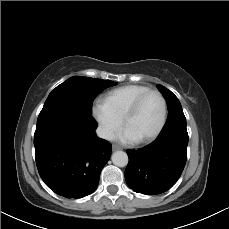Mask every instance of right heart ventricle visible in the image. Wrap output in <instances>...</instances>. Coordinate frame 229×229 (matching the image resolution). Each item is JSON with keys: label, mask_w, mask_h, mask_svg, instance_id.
I'll return each mask as SVG.
<instances>
[{"label": "right heart ventricle", "mask_w": 229, "mask_h": 229, "mask_svg": "<svg viewBox=\"0 0 229 229\" xmlns=\"http://www.w3.org/2000/svg\"><path fill=\"white\" fill-rule=\"evenodd\" d=\"M151 90L148 86L131 84L118 87L106 93L104 102L111 112L122 120L129 105L140 95Z\"/></svg>", "instance_id": "e07e8e85"}]
</instances>
